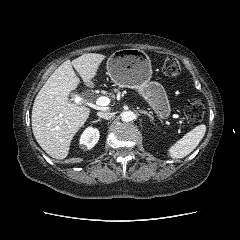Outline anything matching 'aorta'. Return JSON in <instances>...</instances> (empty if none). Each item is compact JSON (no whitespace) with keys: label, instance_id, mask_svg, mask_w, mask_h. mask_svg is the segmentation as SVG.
<instances>
[{"label":"aorta","instance_id":"obj_1","mask_svg":"<svg viewBox=\"0 0 240 240\" xmlns=\"http://www.w3.org/2000/svg\"><path fill=\"white\" fill-rule=\"evenodd\" d=\"M134 113L132 111H124L121 113V120L123 122H130L134 119Z\"/></svg>","mask_w":240,"mask_h":240}]
</instances>
